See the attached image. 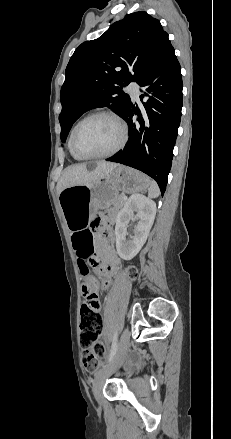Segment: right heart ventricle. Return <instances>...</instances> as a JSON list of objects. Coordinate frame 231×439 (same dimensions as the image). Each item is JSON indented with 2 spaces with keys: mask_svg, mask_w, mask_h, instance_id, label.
Returning <instances> with one entry per match:
<instances>
[{
  "mask_svg": "<svg viewBox=\"0 0 231 439\" xmlns=\"http://www.w3.org/2000/svg\"><path fill=\"white\" fill-rule=\"evenodd\" d=\"M69 150H70V153H71V155L73 156V158L74 159H76V160H81L82 158H80L79 156H77L71 149H70V146H69Z\"/></svg>",
  "mask_w": 231,
  "mask_h": 439,
  "instance_id": "obj_1",
  "label": "right heart ventricle"
}]
</instances>
